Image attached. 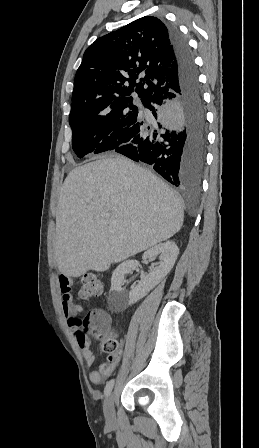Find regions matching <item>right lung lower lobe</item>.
Masks as SVG:
<instances>
[{
    "instance_id": "right-lung-lower-lobe-1",
    "label": "right lung lower lobe",
    "mask_w": 259,
    "mask_h": 448,
    "mask_svg": "<svg viewBox=\"0 0 259 448\" xmlns=\"http://www.w3.org/2000/svg\"><path fill=\"white\" fill-rule=\"evenodd\" d=\"M175 54L179 83L144 103L113 149L153 169L176 187H198L205 166L206 115L193 55L179 30L163 22Z\"/></svg>"
}]
</instances>
